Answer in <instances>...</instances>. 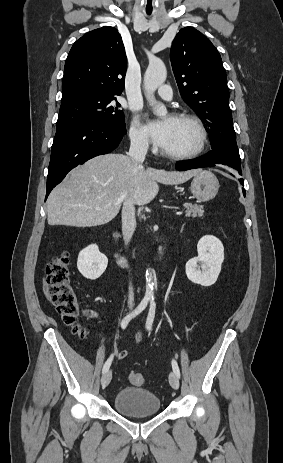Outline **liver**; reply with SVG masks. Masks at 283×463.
I'll return each mask as SVG.
<instances>
[{"label": "liver", "mask_w": 283, "mask_h": 463, "mask_svg": "<svg viewBox=\"0 0 283 463\" xmlns=\"http://www.w3.org/2000/svg\"><path fill=\"white\" fill-rule=\"evenodd\" d=\"M199 171L145 169L123 154L97 156L73 169L52 190L47 200L48 224L104 225L117 216L125 194L130 195L137 205L148 204L158 194V183L182 184Z\"/></svg>", "instance_id": "1"}]
</instances>
